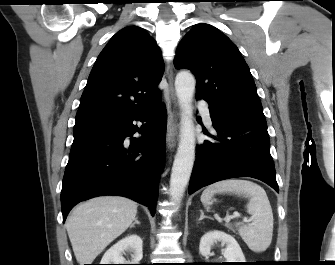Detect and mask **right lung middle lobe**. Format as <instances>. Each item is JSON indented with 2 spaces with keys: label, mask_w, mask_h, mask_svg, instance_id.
<instances>
[{
  "label": "right lung middle lobe",
  "mask_w": 335,
  "mask_h": 265,
  "mask_svg": "<svg viewBox=\"0 0 335 265\" xmlns=\"http://www.w3.org/2000/svg\"><path fill=\"white\" fill-rule=\"evenodd\" d=\"M97 126H99V125L74 126V133L80 132V131H85V130H88V129H92V128H95Z\"/></svg>",
  "instance_id": "dd1d6c3e"
}]
</instances>
